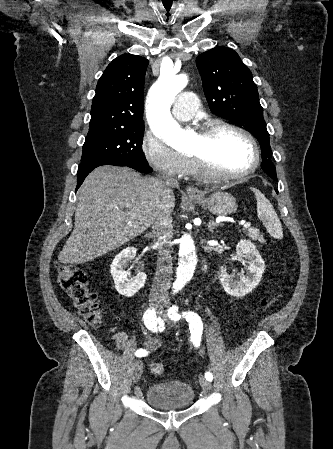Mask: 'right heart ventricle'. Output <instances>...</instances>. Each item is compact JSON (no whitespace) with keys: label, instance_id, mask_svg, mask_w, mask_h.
Segmentation results:
<instances>
[{"label":"right heart ventricle","instance_id":"right-heart-ventricle-1","mask_svg":"<svg viewBox=\"0 0 333 449\" xmlns=\"http://www.w3.org/2000/svg\"><path fill=\"white\" fill-rule=\"evenodd\" d=\"M196 169H195V167H194V164L192 163V161L191 160H189V165H188V169H187V172H186V174H196Z\"/></svg>","mask_w":333,"mask_h":449}]
</instances>
